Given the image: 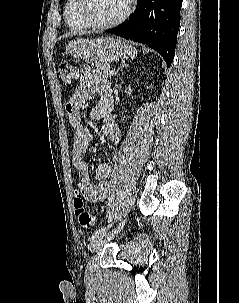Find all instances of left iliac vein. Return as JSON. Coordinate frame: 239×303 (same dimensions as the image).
<instances>
[{
    "label": "left iliac vein",
    "mask_w": 239,
    "mask_h": 303,
    "mask_svg": "<svg viewBox=\"0 0 239 303\" xmlns=\"http://www.w3.org/2000/svg\"><path fill=\"white\" fill-rule=\"evenodd\" d=\"M124 223L119 224L111 233L109 234H105V235H100L98 237H95L94 239L91 240L90 244H89V250L91 253H95L97 252L99 249H101V247L103 246V244L107 241V240H111L115 234H117L121 228L123 227Z\"/></svg>",
    "instance_id": "obj_1"
}]
</instances>
